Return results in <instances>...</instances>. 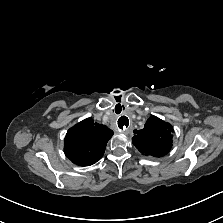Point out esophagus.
<instances>
[{
	"mask_svg": "<svg viewBox=\"0 0 223 223\" xmlns=\"http://www.w3.org/2000/svg\"><path fill=\"white\" fill-rule=\"evenodd\" d=\"M117 127L122 132H127L132 127V122L126 116H121L117 122Z\"/></svg>",
	"mask_w": 223,
	"mask_h": 223,
	"instance_id": "esophagus-1",
	"label": "esophagus"
}]
</instances>
